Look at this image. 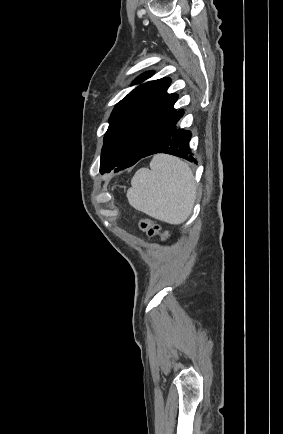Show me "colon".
<instances>
[{
  "label": "colon",
  "instance_id": "colon-1",
  "mask_svg": "<svg viewBox=\"0 0 283 434\" xmlns=\"http://www.w3.org/2000/svg\"><path fill=\"white\" fill-rule=\"evenodd\" d=\"M140 227L144 232L147 233V235L151 237L160 236L163 240H167L169 238V233L167 231H161L160 226L150 219H142L140 221Z\"/></svg>",
  "mask_w": 283,
  "mask_h": 434
}]
</instances>
